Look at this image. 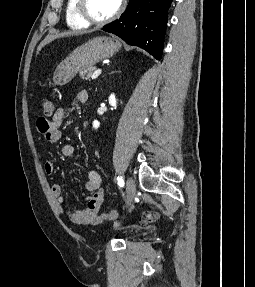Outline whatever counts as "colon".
Returning <instances> with one entry per match:
<instances>
[{
  "label": "colon",
  "mask_w": 255,
  "mask_h": 287,
  "mask_svg": "<svg viewBox=\"0 0 255 287\" xmlns=\"http://www.w3.org/2000/svg\"><path fill=\"white\" fill-rule=\"evenodd\" d=\"M41 107L45 116L49 117L53 115L55 110L54 102L48 98H43L41 100ZM119 216V212L117 210H111L102 214L104 220H114Z\"/></svg>",
  "instance_id": "colon-1"
}]
</instances>
